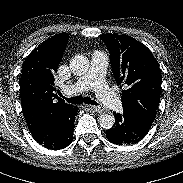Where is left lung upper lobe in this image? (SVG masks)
I'll use <instances>...</instances> for the list:
<instances>
[{
	"label": "left lung upper lobe",
	"instance_id": "1",
	"mask_svg": "<svg viewBox=\"0 0 183 183\" xmlns=\"http://www.w3.org/2000/svg\"><path fill=\"white\" fill-rule=\"evenodd\" d=\"M110 52L112 73L122 91L123 109L138 113L153 122L158 109L162 75L151 51L128 35L107 33L101 36Z\"/></svg>",
	"mask_w": 183,
	"mask_h": 183
}]
</instances>
